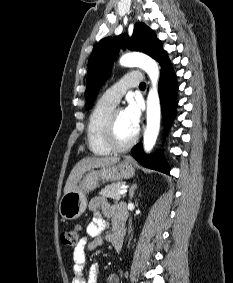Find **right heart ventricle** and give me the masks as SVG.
<instances>
[{"label": "right heart ventricle", "mask_w": 233, "mask_h": 283, "mask_svg": "<svg viewBox=\"0 0 233 283\" xmlns=\"http://www.w3.org/2000/svg\"><path fill=\"white\" fill-rule=\"evenodd\" d=\"M115 105L100 99L92 109L86 128L87 146L96 156H106L112 151L105 145L103 132L107 118Z\"/></svg>", "instance_id": "e07e8e85"}]
</instances>
